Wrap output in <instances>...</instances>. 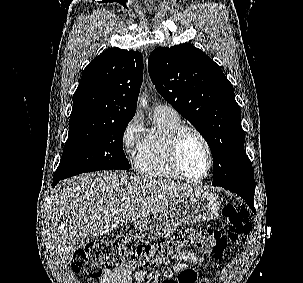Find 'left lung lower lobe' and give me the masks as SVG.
Returning <instances> with one entry per match:
<instances>
[{"label": "left lung lower lobe", "mask_w": 303, "mask_h": 283, "mask_svg": "<svg viewBox=\"0 0 303 283\" xmlns=\"http://www.w3.org/2000/svg\"><path fill=\"white\" fill-rule=\"evenodd\" d=\"M220 187H223L225 189H228L232 192H235L239 196H241L250 209L255 212L254 208V193H255V187L250 185H221Z\"/></svg>", "instance_id": "0a47b994"}]
</instances>
